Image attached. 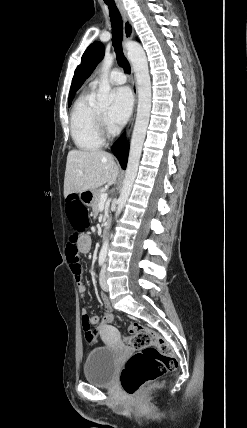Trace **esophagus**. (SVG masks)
I'll use <instances>...</instances> for the list:
<instances>
[{
	"label": "esophagus",
	"instance_id": "34e87169",
	"mask_svg": "<svg viewBox=\"0 0 247 428\" xmlns=\"http://www.w3.org/2000/svg\"><path fill=\"white\" fill-rule=\"evenodd\" d=\"M119 10H120V13L123 17V22H124V28H123L124 40L127 42L133 38L134 28H133V24H132L130 17L128 15L127 11L125 10V8L122 5H120ZM131 87H132V92L134 95L135 103H134V109H133L131 119H130L129 124L126 128L125 141L128 140V138L131 134V131H132V128L134 125V120H135V115H136V106H137V83H136V77H135V73H134L132 65H131Z\"/></svg>",
	"mask_w": 247,
	"mask_h": 428
}]
</instances>
